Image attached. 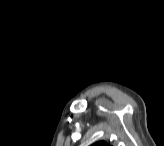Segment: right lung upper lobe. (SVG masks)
<instances>
[{
    "instance_id": "1",
    "label": "right lung upper lobe",
    "mask_w": 164,
    "mask_h": 146,
    "mask_svg": "<svg viewBox=\"0 0 164 146\" xmlns=\"http://www.w3.org/2000/svg\"><path fill=\"white\" fill-rule=\"evenodd\" d=\"M93 146H108V144L104 141H99V142L93 144Z\"/></svg>"
}]
</instances>
